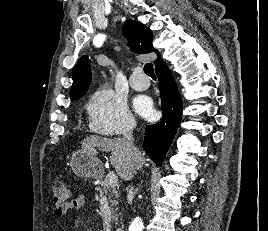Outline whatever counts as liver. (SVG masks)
Here are the masks:
<instances>
[{
  "mask_svg": "<svg viewBox=\"0 0 268 231\" xmlns=\"http://www.w3.org/2000/svg\"><path fill=\"white\" fill-rule=\"evenodd\" d=\"M82 148L94 155L97 153L96 148L111 152L110 163L114 166L120 178L124 180H129L133 169L140 168L145 162L141 152L139 161L136 164L133 162L131 152L122 138L108 139L99 136H89L82 141Z\"/></svg>",
  "mask_w": 268,
  "mask_h": 231,
  "instance_id": "obj_1",
  "label": "liver"
}]
</instances>
